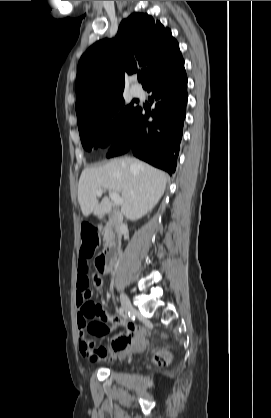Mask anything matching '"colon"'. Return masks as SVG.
Instances as JSON below:
<instances>
[{
  "instance_id": "obj_1",
  "label": "colon",
  "mask_w": 271,
  "mask_h": 418,
  "mask_svg": "<svg viewBox=\"0 0 271 418\" xmlns=\"http://www.w3.org/2000/svg\"><path fill=\"white\" fill-rule=\"evenodd\" d=\"M81 239L82 244L80 248V257L83 260H88L94 255L98 245L97 228L91 223L83 224L81 228ZM96 267L100 271L98 260L96 261ZM83 339L89 341V339H85L84 336ZM156 360L159 362V364H162L167 363L169 358L166 354L163 353L159 354L156 357Z\"/></svg>"
}]
</instances>
